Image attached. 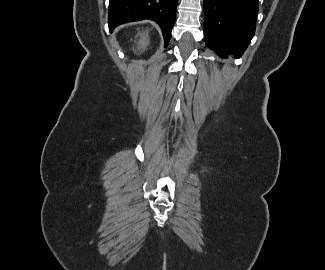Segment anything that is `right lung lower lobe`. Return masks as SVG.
I'll list each match as a JSON object with an SVG mask.
<instances>
[{
	"instance_id": "right-lung-lower-lobe-1",
	"label": "right lung lower lobe",
	"mask_w": 325,
	"mask_h": 270,
	"mask_svg": "<svg viewBox=\"0 0 325 270\" xmlns=\"http://www.w3.org/2000/svg\"><path fill=\"white\" fill-rule=\"evenodd\" d=\"M178 0H110L108 24L112 32L120 24L150 19L162 29L165 46L171 38Z\"/></svg>"
}]
</instances>
